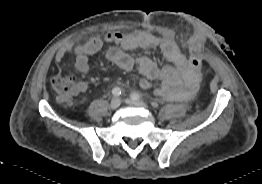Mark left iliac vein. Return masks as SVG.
<instances>
[{"label":"left iliac vein","instance_id":"left-iliac-vein-1","mask_svg":"<svg viewBox=\"0 0 262 184\" xmlns=\"http://www.w3.org/2000/svg\"><path fill=\"white\" fill-rule=\"evenodd\" d=\"M126 103L132 106L141 107V108H147V105L145 102L141 100H134V99H126Z\"/></svg>","mask_w":262,"mask_h":184}]
</instances>
